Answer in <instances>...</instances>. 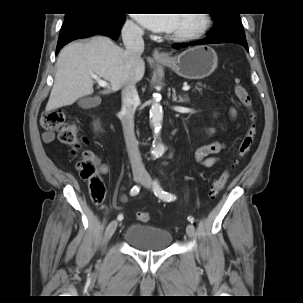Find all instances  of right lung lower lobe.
Returning a JSON list of instances; mask_svg holds the SVG:
<instances>
[{
  "label": "right lung lower lobe",
  "mask_w": 303,
  "mask_h": 303,
  "mask_svg": "<svg viewBox=\"0 0 303 303\" xmlns=\"http://www.w3.org/2000/svg\"><path fill=\"white\" fill-rule=\"evenodd\" d=\"M124 16H111L91 12L68 14L62 25L56 55L67 43L92 35H106L112 39L119 36Z\"/></svg>",
  "instance_id": "98d812e1"
}]
</instances>
